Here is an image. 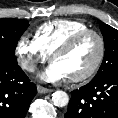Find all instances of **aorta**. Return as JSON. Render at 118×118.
I'll list each match as a JSON object with an SVG mask.
<instances>
[{
  "label": "aorta",
  "instance_id": "obj_1",
  "mask_svg": "<svg viewBox=\"0 0 118 118\" xmlns=\"http://www.w3.org/2000/svg\"><path fill=\"white\" fill-rule=\"evenodd\" d=\"M52 101L55 106L64 107L69 103V97L66 92L58 90L52 94Z\"/></svg>",
  "mask_w": 118,
  "mask_h": 118
}]
</instances>
